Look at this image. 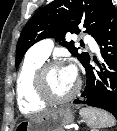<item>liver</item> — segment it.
Listing matches in <instances>:
<instances>
[{"label": "liver", "mask_w": 117, "mask_h": 131, "mask_svg": "<svg viewBox=\"0 0 117 131\" xmlns=\"http://www.w3.org/2000/svg\"><path fill=\"white\" fill-rule=\"evenodd\" d=\"M52 111H54V110H50V111L44 112V113H42V114H39V115L35 116V118L45 116L46 114H49V113L52 112Z\"/></svg>", "instance_id": "obj_1"}]
</instances>
